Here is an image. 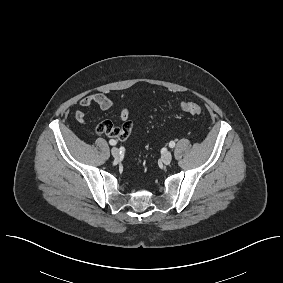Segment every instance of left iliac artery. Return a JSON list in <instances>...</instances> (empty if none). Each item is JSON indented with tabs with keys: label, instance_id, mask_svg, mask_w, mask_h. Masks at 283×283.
<instances>
[{
	"label": "left iliac artery",
	"instance_id": "obj_1",
	"mask_svg": "<svg viewBox=\"0 0 283 283\" xmlns=\"http://www.w3.org/2000/svg\"><path fill=\"white\" fill-rule=\"evenodd\" d=\"M175 146V142L174 141H171L170 143H169V147L170 148H173Z\"/></svg>",
	"mask_w": 283,
	"mask_h": 283
}]
</instances>
